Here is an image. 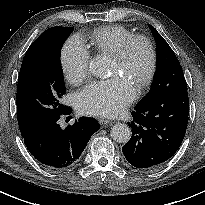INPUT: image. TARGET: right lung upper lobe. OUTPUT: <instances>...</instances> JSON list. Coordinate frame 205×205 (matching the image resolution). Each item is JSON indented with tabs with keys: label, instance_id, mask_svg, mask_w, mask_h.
<instances>
[{
	"label": "right lung upper lobe",
	"instance_id": "obj_1",
	"mask_svg": "<svg viewBox=\"0 0 205 205\" xmlns=\"http://www.w3.org/2000/svg\"><path fill=\"white\" fill-rule=\"evenodd\" d=\"M17 119H18V124H19V128H20V132H21V134L23 136L33 126L28 124L26 122V120L20 114H18V113H17Z\"/></svg>",
	"mask_w": 205,
	"mask_h": 205
}]
</instances>
